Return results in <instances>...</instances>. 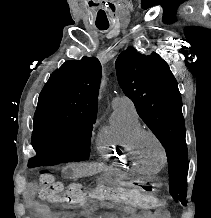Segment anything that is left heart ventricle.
Instances as JSON below:
<instances>
[{
	"mask_svg": "<svg viewBox=\"0 0 211 218\" xmlns=\"http://www.w3.org/2000/svg\"><path fill=\"white\" fill-rule=\"evenodd\" d=\"M140 158L146 163L158 166L161 162L160 149L153 138L145 136L141 142Z\"/></svg>",
	"mask_w": 211,
	"mask_h": 218,
	"instance_id": "left-heart-ventricle-1",
	"label": "left heart ventricle"
}]
</instances>
